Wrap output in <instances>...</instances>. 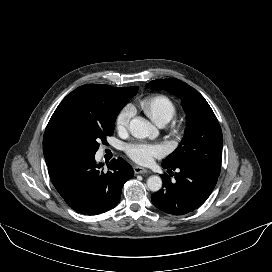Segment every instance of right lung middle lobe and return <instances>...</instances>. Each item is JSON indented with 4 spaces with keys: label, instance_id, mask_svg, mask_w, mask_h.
<instances>
[{
    "label": "right lung middle lobe",
    "instance_id": "right-lung-middle-lobe-1",
    "mask_svg": "<svg viewBox=\"0 0 272 272\" xmlns=\"http://www.w3.org/2000/svg\"><path fill=\"white\" fill-rule=\"evenodd\" d=\"M115 118L104 128L62 131L56 140V158L58 161L95 155L99 142L106 143V137L114 131Z\"/></svg>",
    "mask_w": 272,
    "mask_h": 272
}]
</instances>
